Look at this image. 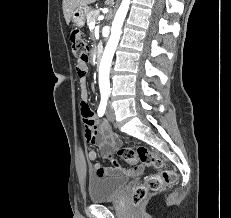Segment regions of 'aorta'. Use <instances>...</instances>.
<instances>
[{"mask_svg":"<svg viewBox=\"0 0 231 218\" xmlns=\"http://www.w3.org/2000/svg\"><path fill=\"white\" fill-rule=\"evenodd\" d=\"M130 5V0H122V3L115 15L111 27V35L105 47L99 66V87L101 91H108L110 88L109 72L114 52L118 45L121 29Z\"/></svg>","mask_w":231,"mask_h":218,"instance_id":"aorta-1","label":"aorta"}]
</instances>
